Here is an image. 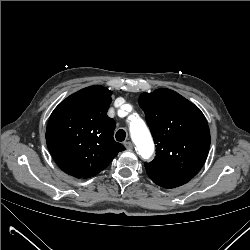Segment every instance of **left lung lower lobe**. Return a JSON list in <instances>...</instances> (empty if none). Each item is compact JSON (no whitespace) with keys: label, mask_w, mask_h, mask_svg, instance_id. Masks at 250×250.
<instances>
[{"label":"left lung lower lobe","mask_w":250,"mask_h":250,"mask_svg":"<svg viewBox=\"0 0 250 250\" xmlns=\"http://www.w3.org/2000/svg\"><path fill=\"white\" fill-rule=\"evenodd\" d=\"M149 177L159 186L164 188H175L187 183L189 178H162L154 175H149Z\"/></svg>","instance_id":"left-lung-lower-lobe-1"}]
</instances>
